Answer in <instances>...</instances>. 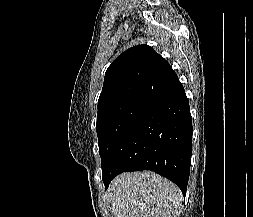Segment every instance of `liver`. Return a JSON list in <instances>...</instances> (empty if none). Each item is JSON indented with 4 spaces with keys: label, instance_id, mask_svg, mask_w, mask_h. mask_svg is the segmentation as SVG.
I'll use <instances>...</instances> for the list:
<instances>
[{
    "label": "liver",
    "instance_id": "liver-1",
    "mask_svg": "<svg viewBox=\"0 0 253 217\" xmlns=\"http://www.w3.org/2000/svg\"><path fill=\"white\" fill-rule=\"evenodd\" d=\"M113 217H177L180 189L151 171L123 173L109 186Z\"/></svg>",
    "mask_w": 253,
    "mask_h": 217
}]
</instances>
